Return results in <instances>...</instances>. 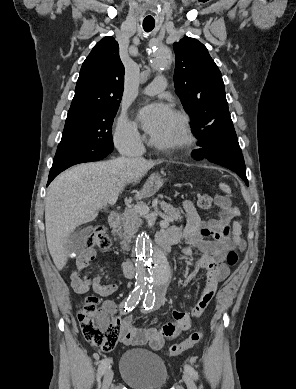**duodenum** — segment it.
<instances>
[{
    "label": "duodenum",
    "instance_id": "1",
    "mask_svg": "<svg viewBox=\"0 0 296 389\" xmlns=\"http://www.w3.org/2000/svg\"><path fill=\"white\" fill-rule=\"evenodd\" d=\"M108 222L111 228H117L120 222L119 213L117 211H113L108 218ZM157 243L162 249V251L167 253L169 252L171 246L176 243V241L172 237L161 235L157 237ZM122 268L126 278L130 279L135 276V267L133 262L128 260L124 261L122 264Z\"/></svg>",
    "mask_w": 296,
    "mask_h": 389
}]
</instances>
